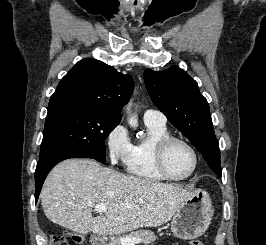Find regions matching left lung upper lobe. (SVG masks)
<instances>
[{
    "label": "left lung upper lobe",
    "instance_id": "left-lung-upper-lobe-1",
    "mask_svg": "<svg viewBox=\"0 0 266 245\" xmlns=\"http://www.w3.org/2000/svg\"><path fill=\"white\" fill-rule=\"evenodd\" d=\"M144 81L157 108L201 152L210 168L221 177L220 150L209 105L198 85L175 67L164 71L146 69Z\"/></svg>",
    "mask_w": 266,
    "mask_h": 245
}]
</instances>
